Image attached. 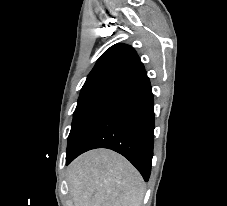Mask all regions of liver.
Returning a JSON list of instances; mask_svg holds the SVG:
<instances>
[{
	"label": "liver",
	"instance_id": "1",
	"mask_svg": "<svg viewBox=\"0 0 227 206\" xmlns=\"http://www.w3.org/2000/svg\"><path fill=\"white\" fill-rule=\"evenodd\" d=\"M74 206H141L145 187L140 173L108 149L86 152L67 171Z\"/></svg>",
	"mask_w": 227,
	"mask_h": 206
}]
</instances>
